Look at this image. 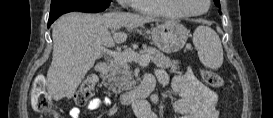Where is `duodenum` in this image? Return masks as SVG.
Here are the masks:
<instances>
[{
	"mask_svg": "<svg viewBox=\"0 0 273 118\" xmlns=\"http://www.w3.org/2000/svg\"><path fill=\"white\" fill-rule=\"evenodd\" d=\"M96 69L100 74H104L107 71V64L105 62H99L96 65ZM154 86V81L144 79L141 84L134 89L121 93L120 101L123 104H129L131 102L141 100L153 90Z\"/></svg>",
	"mask_w": 273,
	"mask_h": 118,
	"instance_id": "410a0bca",
	"label": "duodenum"
}]
</instances>
